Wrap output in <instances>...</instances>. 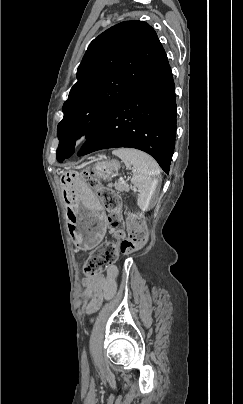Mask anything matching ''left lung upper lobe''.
Masks as SVG:
<instances>
[{
	"mask_svg": "<svg viewBox=\"0 0 243 404\" xmlns=\"http://www.w3.org/2000/svg\"><path fill=\"white\" fill-rule=\"evenodd\" d=\"M167 60L154 29L143 21L121 22L89 45L57 126V160L74 153L76 140L93 129L123 97Z\"/></svg>",
	"mask_w": 243,
	"mask_h": 404,
	"instance_id": "5c2ea615",
	"label": "left lung upper lobe"
}]
</instances>
